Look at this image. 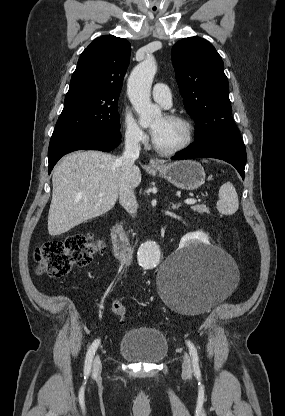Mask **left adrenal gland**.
Here are the masks:
<instances>
[{
  "instance_id": "a2214340",
  "label": "left adrenal gland",
  "mask_w": 285,
  "mask_h": 416,
  "mask_svg": "<svg viewBox=\"0 0 285 416\" xmlns=\"http://www.w3.org/2000/svg\"><path fill=\"white\" fill-rule=\"evenodd\" d=\"M173 210H178L180 208V204H172Z\"/></svg>"
}]
</instances>
